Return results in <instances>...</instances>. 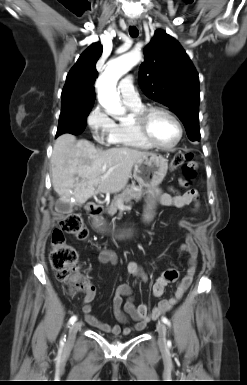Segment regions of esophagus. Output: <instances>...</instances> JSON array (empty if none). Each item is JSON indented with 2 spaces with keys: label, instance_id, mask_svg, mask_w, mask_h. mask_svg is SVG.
<instances>
[{
  "label": "esophagus",
  "instance_id": "1",
  "mask_svg": "<svg viewBox=\"0 0 247 385\" xmlns=\"http://www.w3.org/2000/svg\"><path fill=\"white\" fill-rule=\"evenodd\" d=\"M129 24L132 25V26L136 25V21H129Z\"/></svg>",
  "mask_w": 247,
  "mask_h": 385
}]
</instances>
